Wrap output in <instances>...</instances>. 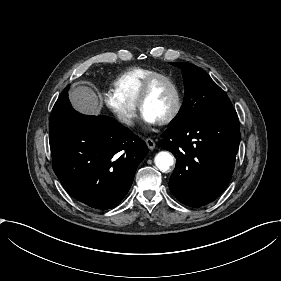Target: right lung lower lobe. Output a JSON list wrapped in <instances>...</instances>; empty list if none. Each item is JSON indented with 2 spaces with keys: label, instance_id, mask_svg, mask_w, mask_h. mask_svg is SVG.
<instances>
[{
  "label": "right lung lower lobe",
  "instance_id": "1",
  "mask_svg": "<svg viewBox=\"0 0 281 281\" xmlns=\"http://www.w3.org/2000/svg\"><path fill=\"white\" fill-rule=\"evenodd\" d=\"M68 90L69 85L50 116L54 172L76 200L100 210L113 208L129 191L148 148L115 119L76 112Z\"/></svg>",
  "mask_w": 281,
  "mask_h": 281
}]
</instances>
